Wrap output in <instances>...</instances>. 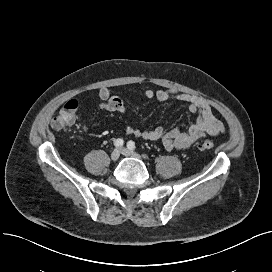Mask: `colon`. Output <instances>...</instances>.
<instances>
[{"label": "colon", "mask_w": 272, "mask_h": 272, "mask_svg": "<svg viewBox=\"0 0 272 272\" xmlns=\"http://www.w3.org/2000/svg\"><path fill=\"white\" fill-rule=\"evenodd\" d=\"M70 108H65L52 121V128L55 130L65 129L71 126L72 120L70 115ZM201 150H210L213 148V143L210 141H203L198 145Z\"/></svg>", "instance_id": "1"}]
</instances>
